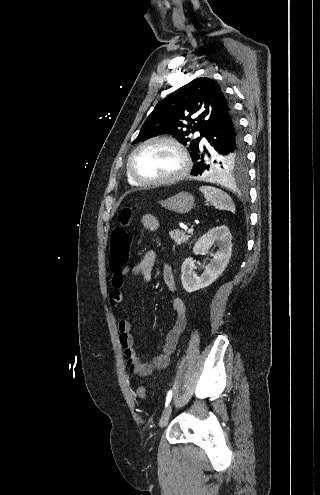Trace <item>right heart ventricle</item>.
<instances>
[{"instance_id": "right-heart-ventricle-1", "label": "right heart ventricle", "mask_w": 320, "mask_h": 495, "mask_svg": "<svg viewBox=\"0 0 320 495\" xmlns=\"http://www.w3.org/2000/svg\"><path fill=\"white\" fill-rule=\"evenodd\" d=\"M127 178H128V182L131 184V185H137L131 178L130 176L127 174Z\"/></svg>"}]
</instances>
